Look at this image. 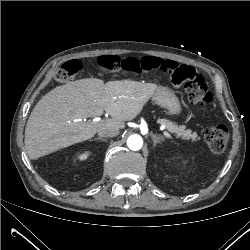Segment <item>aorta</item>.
I'll return each mask as SVG.
<instances>
[{"instance_id":"obj_1","label":"aorta","mask_w":250,"mask_h":250,"mask_svg":"<svg viewBox=\"0 0 250 250\" xmlns=\"http://www.w3.org/2000/svg\"><path fill=\"white\" fill-rule=\"evenodd\" d=\"M127 145L129 149L133 151H137L141 149L143 145V140L140 135L134 134L128 137Z\"/></svg>"}]
</instances>
